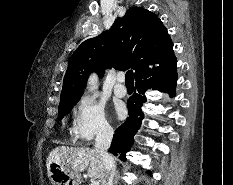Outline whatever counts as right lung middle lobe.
<instances>
[{
	"label": "right lung middle lobe",
	"mask_w": 233,
	"mask_h": 185,
	"mask_svg": "<svg viewBox=\"0 0 233 185\" xmlns=\"http://www.w3.org/2000/svg\"><path fill=\"white\" fill-rule=\"evenodd\" d=\"M77 102H78V100L60 103L59 104V113H58L59 119H62L63 116L67 115Z\"/></svg>",
	"instance_id": "obj_1"
}]
</instances>
